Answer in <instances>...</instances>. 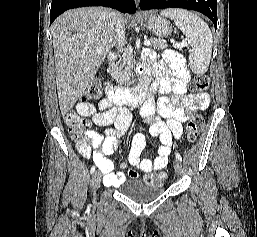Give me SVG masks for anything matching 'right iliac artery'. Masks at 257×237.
<instances>
[{
  "label": "right iliac artery",
  "mask_w": 257,
  "mask_h": 237,
  "mask_svg": "<svg viewBox=\"0 0 257 237\" xmlns=\"http://www.w3.org/2000/svg\"><path fill=\"white\" fill-rule=\"evenodd\" d=\"M95 171V166L91 167L90 173L92 174Z\"/></svg>",
  "instance_id": "82829eb1"
}]
</instances>
